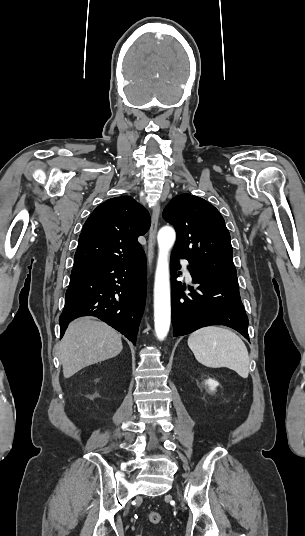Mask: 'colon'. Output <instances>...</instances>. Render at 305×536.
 Listing matches in <instances>:
<instances>
[{"label": "colon", "mask_w": 305, "mask_h": 536, "mask_svg": "<svg viewBox=\"0 0 305 536\" xmlns=\"http://www.w3.org/2000/svg\"><path fill=\"white\" fill-rule=\"evenodd\" d=\"M148 520L151 524H159L161 522V516L157 512H151L148 515Z\"/></svg>", "instance_id": "5ec220e1"}]
</instances>
